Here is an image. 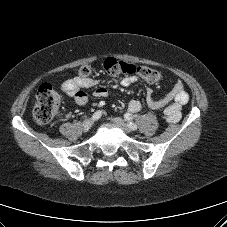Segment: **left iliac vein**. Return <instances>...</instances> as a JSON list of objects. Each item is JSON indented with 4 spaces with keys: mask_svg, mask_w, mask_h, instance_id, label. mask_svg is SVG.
I'll return each instance as SVG.
<instances>
[{
    "mask_svg": "<svg viewBox=\"0 0 227 227\" xmlns=\"http://www.w3.org/2000/svg\"><path fill=\"white\" fill-rule=\"evenodd\" d=\"M112 121L126 133H130L132 131V129H130L128 125L124 122V120H122L121 118L115 117L112 118Z\"/></svg>",
    "mask_w": 227,
    "mask_h": 227,
    "instance_id": "obj_1",
    "label": "left iliac vein"
}]
</instances>
